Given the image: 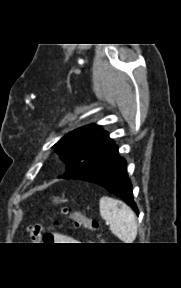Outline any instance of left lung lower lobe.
<instances>
[{"label": "left lung lower lobe", "mask_w": 181, "mask_h": 288, "mask_svg": "<svg viewBox=\"0 0 181 288\" xmlns=\"http://www.w3.org/2000/svg\"><path fill=\"white\" fill-rule=\"evenodd\" d=\"M102 186L125 201L138 215L133 199L132 184L127 175L126 161L118 155V148L90 174L81 178Z\"/></svg>", "instance_id": "1"}]
</instances>
